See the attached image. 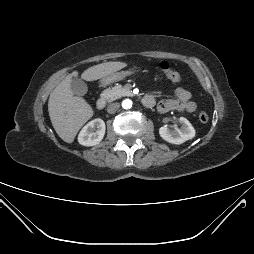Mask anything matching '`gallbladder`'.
<instances>
[{
  "mask_svg": "<svg viewBox=\"0 0 254 254\" xmlns=\"http://www.w3.org/2000/svg\"><path fill=\"white\" fill-rule=\"evenodd\" d=\"M71 89L74 94L83 96L87 93L88 87L84 81L78 78H73L71 80Z\"/></svg>",
  "mask_w": 254,
  "mask_h": 254,
  "instance_id": "gallbladder-1",
  "label": "gallbladder"
}]
</instances>
